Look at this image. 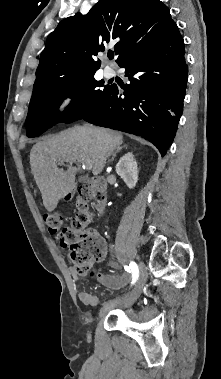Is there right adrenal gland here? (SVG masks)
I'll list each match as a JSON object with an SVG mask.
<instances>
[{
	"instance_id": "2a0ac1e0",
	"label": "right adrenal gland",
	"mask_w": 221,
	"mask_h": 379,
	"mask_svg": "<svg viewBox=\"0 0 221 379\" xmlns=\"http://www.w3.org/2000/svg\"><path fill=\"white\" fill-rule=\"evenodd\" d=\"M124 147H126V145L118 146V147L116 148V150L113 152L112 157H111V159L108 161V163H109V162H112V161L114 160V158L116 157V154H117L118 152H120Z\"/></svg>"
}]
</instances>
